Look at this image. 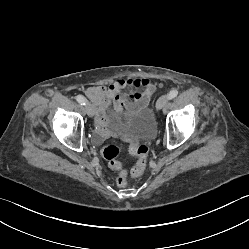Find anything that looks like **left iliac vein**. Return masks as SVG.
Returning a JSON list of instances; mask_svg holds the SVG:
<instances>
[{"mask_svg": "<svg viewBox=\"0 0 249 249\" xmlns=\"http://www.w3.org/2000/svg\"><path fill=\"white\" fill-rule=\"evenodd\" d=\"M168 101H169L168 95L161 96L156 102V108L158 110L164 108L167 105Z\"/></svg>", "mask_w": 249, "mask_h": 249, "instance_id": "4c4485c4", "label": "left iliac vein"}]
</instances>
